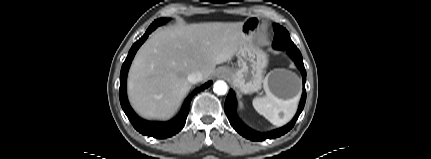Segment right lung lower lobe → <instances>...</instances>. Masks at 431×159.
I'll use <instances>...</instances> for the list:
<instances>
[{
	"label": "right lung lower lobe",
	"mask_w": 431,
	"mask_h": 159,
	"mask_svg": "<svg viewBox=\"0 0 431 159\" xmlns=\"http://www.w3.org/2000/svg\"><path fill=\"white\" fill-rule=\"evenodd\" d=\"M155 29L156 27L150 25L147 31L145 32V34L131 47L128 53V56L121 68L119 97H120V103L123 111L125 112L128 119L130 120V122L132 123V125L137 131H139L143 135H147V136L159 138V139H165L175 135L184 127L186 123L187 115L189 113L190 102L192 97L196 93L208 88L211 85V82H207L201 87H199L198 89H195L192 92V94L186 98L179 115L168 122H150L138 117L130 107L129 102L127 100V95H126L127 73L136 51L147 39L148 35Z\"/></svg>",
	"instance_id": "right-lung-lower-lobe-1"
}]
</instances>
